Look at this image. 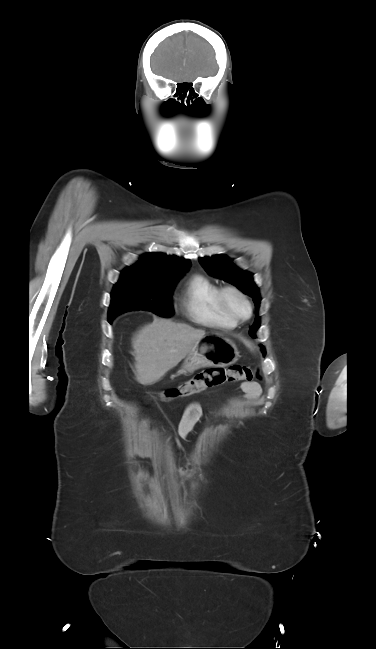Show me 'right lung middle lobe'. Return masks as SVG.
<instances>
[{"label": "right lung middle lobe", "instance_id": "right-lung-middle-lobe-1", "mask_svg": "<svg viewBox=\"0 0 376 649\" xmlns=\"http://www.w3.org/2000/svg\"><path fill=\"white\" fill-rule=\"evenodd\" d=\"M185 272L152 276L135 267L126 268L111 293L109 322L130 310H149L164 317L173 315L172 291Z\"/></svg>", "mask_w": 376, "mask_h": 649}]
</instances>
